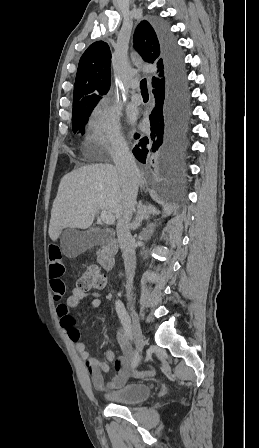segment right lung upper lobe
Returning a JSON list of instances; mask_svg holds the SVG:
<instances>
[{
  "mask_svg": "<svg viewBox=\"0 0 259 448\" xmlns=\"http://www.w3.org/2000/svg\"><path fill=\"white\" fill-rule=\"evenodd\" d=\"M134 47L145 62L157 64L159 77L152 78L153 89L165 84L164 62L157 31L143 20L134 33ZM111 52L104 41L92 43L80 58L74 85L73 111L94 107L110 88Z\"/></svg>",
  "mask_w": 259,
  "mask_h": 448,
  "instance_id": "obj_1",
  "label": "right lung upper lobe"
}]
</instances>
